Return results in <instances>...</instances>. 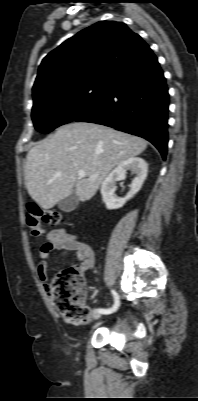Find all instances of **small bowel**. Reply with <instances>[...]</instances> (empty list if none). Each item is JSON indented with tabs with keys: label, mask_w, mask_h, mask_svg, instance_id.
<instances>
[{
	"label": "small bowel",
	"mask_w": 198,
	"mask_h": 401,
	"mask_svg": "<svg viewBox=\"0 0 198 401\" xmlns=\"http://www.w3.org/2000/svg\"><path fill=\"white\" fill-rule=\"evenodd\" d=\"M38 254L40 261L37 266V273L46 288H48V272L52 254L56 256H74L81 262V267L84 271L90 270L95 263V253L91 245L80 239L76 234L69 233L62 228L53 229L46 235L45 240L39 247Z\"/></svg>",
	"instance_id": "1"
}]
</instances>
